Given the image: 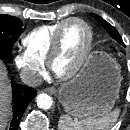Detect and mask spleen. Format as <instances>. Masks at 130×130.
<instances>
[{"instance_id":"spleen-1","label":"spleen","mask_w":130,"mask_h":130,"mask_svg":"<svg viewBox=\"0 0 130 130\" xmlns=\"http://www.w3.org/2000/svg\"><path fill=\"white\" fill-rule=\"evenodd\" d=\"M120 114L118 108L103 115L100 118H85L82 120H73L68 115L60 117L58 122L59 130H110L117 121Z\"/></svg>"}]
</instances>
